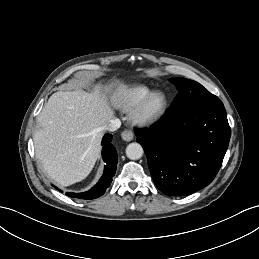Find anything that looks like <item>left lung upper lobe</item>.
<instances>
[{
	"instance_id": "1",
	"label": "left lung upper lobe",
	"mask_w": 259,
	"mask_h": 259,
	"mask_svg": "<svg viewBox=\"0 0 259 259\" xmlns=\"http://www.w3.org/2000/svg\"><path fill=\"white\" fill-rule=\"evenodd\" d=\"M178 94L168 113L178 112L203 103L218 100V97L207 91L201 84L186 78H172Z\"/></svg>"
}]
</instances>
